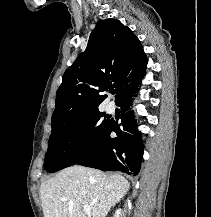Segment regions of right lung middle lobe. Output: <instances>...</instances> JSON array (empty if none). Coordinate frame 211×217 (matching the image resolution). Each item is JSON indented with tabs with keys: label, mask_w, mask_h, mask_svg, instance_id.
<instances>
[{
	"label": "right lung middle lobe",
	"mask_w": 211,
	"mask_h": 217,
	"mask_svg": "<svg viewBox=\"0 0 211 217\" xmlns=\"http://www.w3.org/2000/svg\"><path fill=\"white\" fill-rule=\"evenodd\" d=\"M99 110L52 128L44 169L57 172L86 158L102 141L109 119Z\"/></svg>",
	"instance_id": "obj_1"
}]
</instances>
